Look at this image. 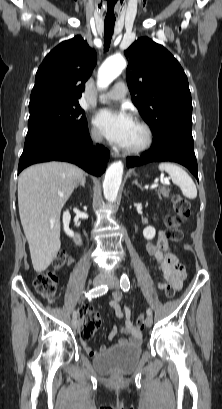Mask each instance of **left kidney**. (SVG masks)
Here are the masks:
<instances>
[{"label": "left kidney", "mask_w": 222, "mask_h": 409, "mask_svg": "<svg viewBox=\"0 0 222 409\" xmlns=\"http://www.w3.org/2000/svg\"><path fill=\"white\" fill-rule=\"evenodd\" d=\"M155 234H156V230L152 226H148V227L144 228V230H143V236L147 240L153 239L155 237Z\"/></svg>", "instance_id": "obj_1"}]
</instances>
